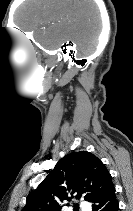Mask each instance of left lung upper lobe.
I'll use <instances>...</instances> for the list:
<instances>
[{
	"label": "left lung upper lobe",
	"instance_id": "5c2ea615",
	"mask_svg": "<svg viewBox=\"0 0 133 211\" xmlns=\"http://www.w3.org/2000/svg\"><path fill=\"white\" fill-rule=\"evenodd\" d=\"M32 191L22 211H61V203L72 198L94 203L113 186L105 165L87 151L67 154ZM78 205L74 211H78Z\"/></svg>",
	"mask_w": 133,
	"mask_h": 211
}]
</instances>
